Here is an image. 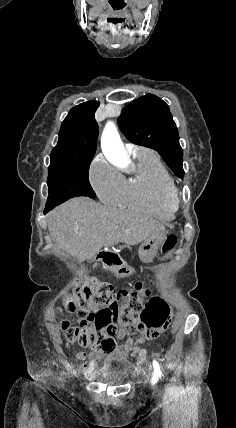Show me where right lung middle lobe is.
I'll use <instances>...</instances> for the list:
<instances>
[{
	"label": "right lung middle lobe",
	"instance_id": "1",
	"mask_svg": "<svg viewBox=\"0 0 236 428\" xmlns=\"http://www.w3.org/2000/svg\"><path fill=\"white\" fill-rule=\"evenodd\" d=\"M89 160L61 161L51 160L48 175V201L46 206H57L76 196L94 198L88 178Z\"/></svg>",
	"mask_w": 236,
	"mask_h": 428
}]
</instances>
